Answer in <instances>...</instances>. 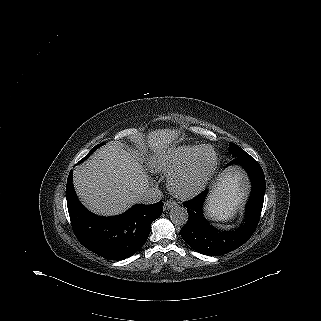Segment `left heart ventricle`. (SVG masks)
I'll use <instances>...</instances> for the list:
<instances>
[{"instance_id": "b2bd125f", "label": "left heart ventricle", "mask_w": 321, "mask_h": 321, "mask_svg": "<svg viewBox=\"0 0 321 321\" xmlns=\"http://www.w3.org/2000/svg\"><path fill=\"white\" fill-rule=\"evenodd\" d=\"M213 161V156L210 150H204L199 158L195 172L189 177L180 182V187L189 188L196 185L203 176L208 172Z\"/></svg>"}]
</instances>
